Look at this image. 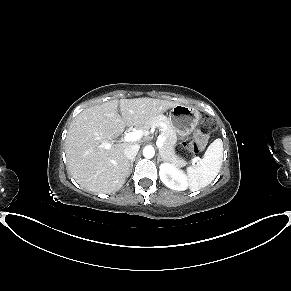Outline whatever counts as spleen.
I'll return each instance as SVG.
<instances>
[{
  "instance_id": "3e777b00",
  "label": "spleen",
  "mask_w": 291,
  "mask_h": 291,
  "mask_svg": "<svg viewBox=\"0 0 291 291\" xmlns=\"http://www.w3.org/2000/svg\"><path fill=\"white\" fill-rule=\"evenodd\" d=\"M223 159V143L214 140L207 148L204 157L195 166L187 169L191 191H197L209 185L218 175Z\"/></svg>"
}]
</instances>
